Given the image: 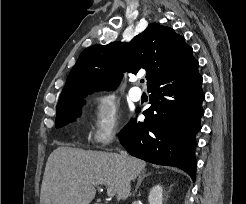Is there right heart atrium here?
<instances>
[{
  "mask_svg": "<svg viewBox=\"0 0 246 204\" xmlns=\"http://www.w3.org/2000/svg\"><path fill=\"white\" fill-rule=\"evenodd\" d=\"M122 126L119 105L111 94H100L93 99L91 139L97 146H105L115 139Z\"/></svg>",
  "mask_w": 246,
  "mask_h": 204,
  "instance_id": "1",
  "label": "right heart atrium"
}]
</instances>
